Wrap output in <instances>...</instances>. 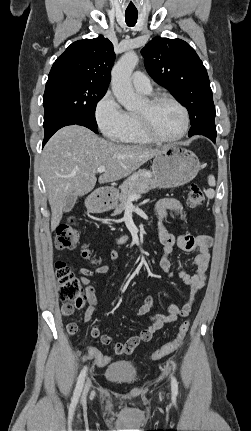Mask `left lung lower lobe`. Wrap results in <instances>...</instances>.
Instances as JSON below:
<instances>
[{
    "label": "left lung lower lobe",
    "instance_id": "1",
    "mask_svg": "<svg viewBox=\"0 0 251 431\" xmlns=\"http://www.w3.org/2000/svg\"><path fill=\"white\" fill-rule=\"evenodd\" d=\"M199 134H204V132L203 131H199ZM216 140V139H215ZM215 140H213V142H215Z\"/></svg>",
    "mask_w": 251,
    "mask_h": 431
}]
</instances>
